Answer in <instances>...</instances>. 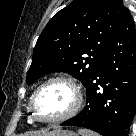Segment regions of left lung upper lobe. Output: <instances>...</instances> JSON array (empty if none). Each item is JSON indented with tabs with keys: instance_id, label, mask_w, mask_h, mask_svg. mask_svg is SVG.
Returning <instances> with one entry per match:
<instances>
[{
	"instance_id": "1",
	"label": "left lung upper lobe",
	"mask_w": 136,
	"mask_h": 136,
	"mask_svg": "<svg viewBox=\"0 0 136 136\" xmlns=\"http://www.w3.org/2000/svg\"><path fill=\"white\" fill-rule=\"evenodd\" d=\"M127 13L121 0H74L39 36L27 84L52 72H66L87 87Z\"/></svg>"
}]
</instances>
